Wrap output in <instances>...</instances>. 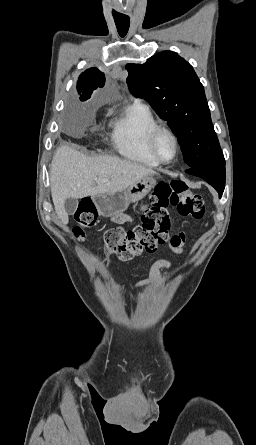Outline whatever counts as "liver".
I'll return each instance as SVG.
<instances>
[{"label": "liver", "instance_id": "6515ba94", "mask_svg": "<svg viewBox=\"0 0 256 445\" xmlns=\"http://www.w3.org/2000/svg\"><path fill=\"white\" fill-rule=\"evenodd\" d=\"M150 168L111 156L87 157L69 147H59L50 167L52 200L61 221L68 222L67 198H84L121 192L144 177L155 175Z\"/></svg>", "mask_w": 256, "mask_h": 445}]
</instances>
